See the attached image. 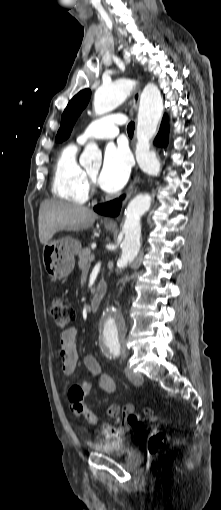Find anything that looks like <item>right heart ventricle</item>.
Instances as JSON below:
<instances>
[{
	"instance_id": "e07e8e85",
	"label": "right heart ventricle",
	"mask_w": 221,
	"mask_h": 510,
	"mask_svg": "<svg viewBox=\"0 0 221 510\" xmlns=\"http://www.w3.org/2000/svg\"><path fill=\"white\" fill-rule=\"evenodd\" d=\"M78 146L66 145L59 153L53 173L52 192L55 196L76 204L89 199L85 170L77 160Z\"/></svg>"
}]
</instances>
